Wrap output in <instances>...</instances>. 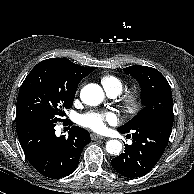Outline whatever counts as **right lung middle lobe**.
<instances>
[{"mask_svg": "<svg viewBox=\"0 0 194 194\" xmlns=\"http://www.w3.org/2000/svg\"><path fill=\"white\" fill-rule=\"evenodd\" d=\"M78 85L70 82L48 62L38 63L25 78L17 99L16 122L43 119L63 121L64 109L72 107Z\"/></svg>", "mask_w": 194, "mask_h": 194, "instance_id": "dd1d6c3e", "label": "right lung middle lobe"}]
</instances>
